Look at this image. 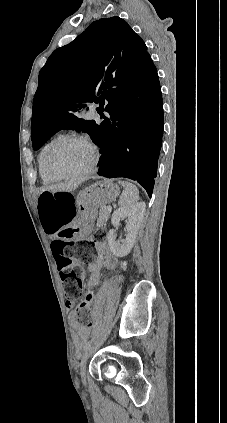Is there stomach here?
I'll return each instance as SVG.
<instances>
[{"label": "stomach", "mask_w": 227, "mask_h": 423, "mask_svg": "<svg viewBox=\"0 0 227 423\" xmlns=\"http://www.w3.org/2000/svg\"><path fill=\"white\" fill-rule=\"evenodd\" d=\"M119 188L112 184V180H103V182H95L85 190H81L77 196V210L94 211L99 206H106L110 202H114L119 196Z\"/></svg>", "instance_id": "stomach-1"}]
</instances>
